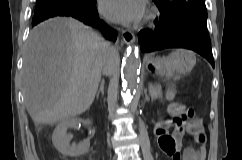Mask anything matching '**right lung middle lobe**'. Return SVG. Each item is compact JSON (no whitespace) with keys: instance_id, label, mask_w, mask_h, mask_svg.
<instances>
[{"instance_id":"1","label":"right lung middle lobe","mask_w":242,"mask_h":160,"mask_svg":"<svg viewBox=\"0 0 242 160\" xmlns=\"http://www.w3.org/2000/svg\"><path fill=\"white\" fill-rule=\"evenodd\" d=\"M92 0H37L35 11L48 6L65 4L70 6H87Z\"/></svg>"}]
</instances>
